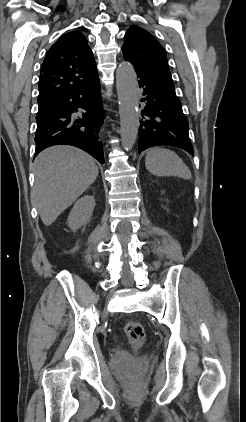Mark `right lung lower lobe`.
<instances>
[{
  "label": "right lung lower lobe",
  "mask_w": 246,
  "mask_h": 422,
  "mask_svg": "<svg viewBox=\"0 0 246 422\" xmlns=\"http://www.w3.org/2000/svg\"><path fill=\"white\" fill-rule=\"evenodd\" d=\"M81 110V118L73 114ZM38 155L53 145L76 146L104 163L99 132L104 120L99 77L90 83L40 107L36 116Z\"/></svg>",
  "instance_id": "obj_1"
}]
</instances>
